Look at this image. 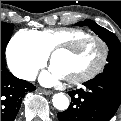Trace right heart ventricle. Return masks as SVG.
I'll list each match as a JSON object with an SVG mask.
<instances>
[{"label":"right heart ventricle","mask_w":121,"mask_h":121,"mask_svg":"<svg viewBox=\"0 0 121 121\" xmlns=\"http://www.w3.org/2000/svg\"><path fill=\"white\" fill-rule=\"evenodd\" d=\"M18 35L22 39L32 40L43 54L48 55L56 46L69 45L88 34L79 30L55 28L24 29L19 31Z\"/></svg>","instance_id":"e07e8e85"}]
</instances>
